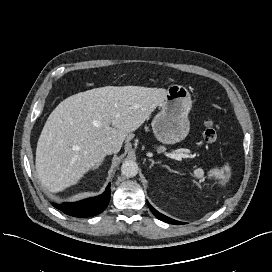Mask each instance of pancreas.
<instances>
[{
    "instance_id": "obj_1",
    "label": "pancreas",
    "mask_w": 272,
    "mask_h": 272,
    "mask_svg": "<svg viewBox=\"0 0 272 272\" xmlns=\"http://www.w3.org/2000/svg\"><path fill=\"white\" fill-rule=\"evenodd\" d=\"M165 148L164 147H158L157 150L158 151H163Z\"/></svg>"
}]
</instances>
